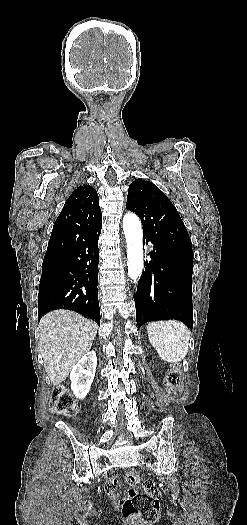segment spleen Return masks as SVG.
Listing matches in <instances>:
<instances>
[{
    "label": "spleen",
    "mask_w": 247,
    "mask_h": 525,
    "mask_svg": "<svg viewBox=\"0 0 247 525\" xmlns=\"http://www.w3.org/2000/svg\"><path fill=\"white\" fill-rule=\"evenodd\" d=\"M147 333L151 345L166 363L177 365L189 351L190 331L181 321L148 323Z\"/></svg>",
    "instance_id": "1"
}]
</instances>
